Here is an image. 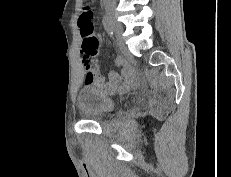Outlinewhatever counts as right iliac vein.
Segmentation results:
<instances>
[{
	"mask_svg": "<svg viewBox=\"0 0 231 177\" xmlns=\"http://www.w3.org/2000/svg\"><path fill=\"white\" fill-rule=\"evenodd\" d=\"M106 16L111 22V25L113 29L115 30L117 36L119 37L123 31L122 25L116 20V16L114 14V10L111 8H108L106 11Z\"/></svg>",
	"mask_w": 231,
	"mask_h": 177,
	"instance_id": "obj_1",
	"label": "right iliac vein"
}]
</instances>
